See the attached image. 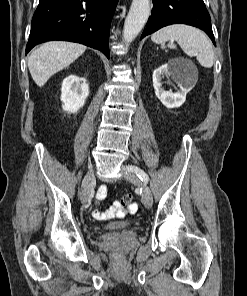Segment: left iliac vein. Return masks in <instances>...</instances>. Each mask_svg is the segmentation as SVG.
<instances>
[{
	"mask_svg": "<svg viewBox=\"0 0 247 296\" xmlns=\"http://www.w3.org/2000/svg\"><path fill=\"white\" fill-rule=\"evenodd\" d=\"M123 171L125 179L138 185L142 189L143 204L146 208H150L153 203V197L150 188L146 184L142 183L137 177L136 173L129 170L128 167H124Z\"/></svg>",
	"mask_w": 247,
	"mask_h": 296,
	"instance_id": "obj_1",
	"label": "left iliac vein"
}]
</instances>
